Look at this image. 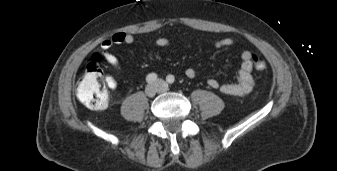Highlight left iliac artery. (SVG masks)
<instances>
[{
    "instance_id": "left-iliac-artery-1",
    "label": "left iliac artery",
    "mask_w": 337,
    "mask_h": 171,
    "mask_svg": "<svg viewBox=\"0 0 337 171\" xmlns=\"http://www.w3.org/2000/svg\"><path fill=\"white\" fill-rule=\"evenodd\" d=\"M166 80H167L168 83L172 84V83H174L175 78H174L173 75H168Z\"/></svg>"
}]
</instances>
